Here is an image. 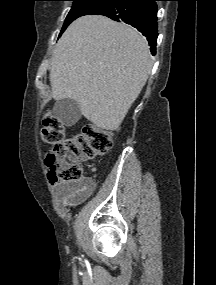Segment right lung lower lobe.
Here are the masks:
<instances>
[{"label": "right lung lower lobe", "instance_id": "right-lung-lower-lobe-1", "mask_svg": "<svg viewBox=\"0 0 216 285\" xmlns=\"http://www.w3.org/2000/svg\"><path fill=\"white\" fill-rule=\"evenodd\" d=\"M156 1L159 0H116L95 14L124 21L137 28L147 38L151 53L155 55L158 36Z\"/></svg>", "mask_w": 216, "mask_h": 285}]
</instances>
